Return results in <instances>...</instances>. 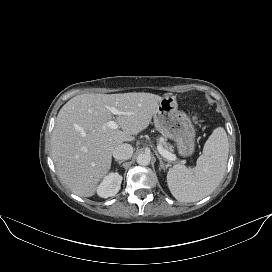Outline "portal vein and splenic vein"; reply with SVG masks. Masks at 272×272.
<instances>
[{"label": "portal vein and splenic vein", "mask_w": 272, "mask_h": 272, "mask_svg": "<svg viewBox=\"0 0 272 272\" xmlns=\"http://www.w3.org/2000/svg\"><path fill=\"white\" fill-rule=\"evenodd\" d=\"M109 110L114 115H119L120 114L119 110L116 109L115 107H111V108H109ZM106 125L111 129H117L118 128V124L115 121H109ZM157 150L164 158H166V159H168L170 161H173V160L176 159V156L174 154L170 153L169 151L165 150L162 147L161 144H158Z\"/></svg>", "instance_id": "1"}]
</instances>
